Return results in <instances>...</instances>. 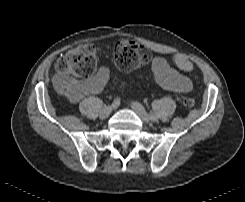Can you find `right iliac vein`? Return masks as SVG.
<instances>
[{"label":"right iliac vein","mask_w":245,"mask_h":202,"mask_svg":"<svg viewBox=\"0 0 245 202\" xmlns=\"http://www.w3.org/2000/svg\"><path fill=\"white\" fill-rule=\"evenodd\" d=\"M113 109H114L113 105L103 107L99 113V117L101 119L108 118L109 115L112 113Z\"/></svg>","instance_id":"obj_1"}]
</instances>
